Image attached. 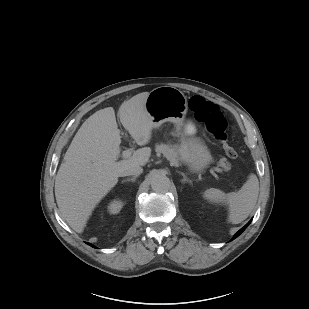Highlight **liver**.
I'll use <instances>...</instances> for the list:
<instances>
[{
    "label": "liver",
    "mask_w": 309,
    "mask_h": 309,
    "mask_svg": "<svg viewBox=\"0 0 309 309\" xmlns=\"http://www.w3.org/2000/svg\"><path fill=\"white\" fill-rule=\"evenodd\" d=\"M148 92L122 103L118 115L123 127L140 146L149 143L152 120L145 110ZM121 131L115 111L107 107L95 112L74 136L55 179V197L62 218L77 233H82L96 205L117 184L120 173L132 166H144L151 149L144 147L117 161Z\"/></svg>",
    "instance_id": "liver-1"
}]
</instances>
